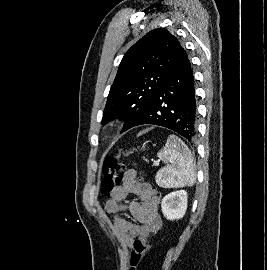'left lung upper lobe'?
Here are the masks:
<instances>
[{"instance_id":"5c2ea615","label":"left lung upper lobe","mask_w":267,"mask_h":270,"mask_svg":"<svg viewBox=\"0 0 267 270\" xmlns=\"http://www.w3.org/2000/svg\"><path fill=\"white\" fill-rule=\"evenodd\" d=\"M180 48L178 39L164 28L154 29L136 42L119 65L102 123L120 118L122 132L132 128L163 85Z\"/></svg>"}]
</instances>
